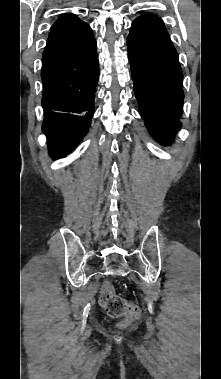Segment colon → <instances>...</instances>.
Wrapping results in <instances>:
<instances>
[{"label":"colon","instance_id":"1","mask_svg":"<svg viewBox=\"0 0 221 379\" xmlns=\"http://www.w3.org/2000/svg\"><path fill=\"white\" fill-rule=\"evenodd\" d=\"M99 302L109 316L124 317V325L136 321L140 316V309L117 295L109 281L104 282L101 287Z\"/></svg>","mask_w":221,"mask_h":379}]
</instances>
